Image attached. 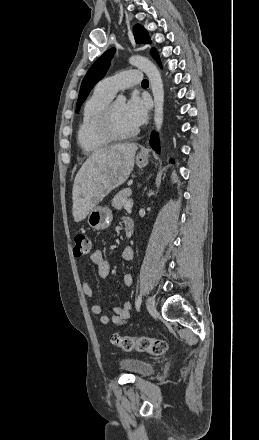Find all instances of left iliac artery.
<instances>
[{"label":"left iliac artery","instance_id":"44dca946","mask_svg":"<svg viewBox=\"0 0 259 440\" xmlns=\"http://www.w3.org/2000/svg\"><path fill=\"white\" fill-rule=\"evenodd\" d=\"M141 302H142V297H141V295H139L137 300H136V303H135V307H136L137 311L140 309Z\"/></svg>","mask_w":259,"mask_h":440}]
</instances>
